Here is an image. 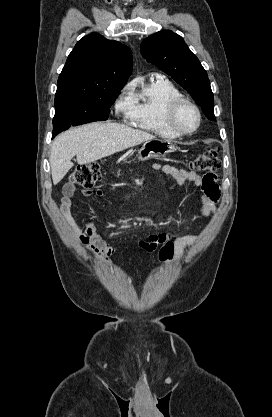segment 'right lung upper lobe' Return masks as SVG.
Instances as JSON below:
<instances>
[{
  "label": "right lung upper lobe",
  "mask_w": 272,
  "mask_h": 417,
  "mask_svg": "<svg viewBox=\"0 0 272 417\" xmlns=\"http://www.w3.org/2000/svg\"><path fill=\"white\" fill-rule=\"evenodd\" d=\"M130 48L92 32L77 42L60 73L56 97L123 88L132 72Z\"/></svg>",
  "instance_id": "right-lung-upper-lobe-1"
}]
</instances>
